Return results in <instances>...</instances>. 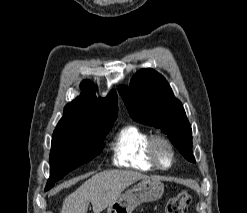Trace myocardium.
I'll return each instance as SVG.
<instances>
[{"label": "myocardium", "mask_w": 247, "mask_h": 213, "mask_svg": "<svg viewBox=\"0 0 247 213\" xmlns=\"http://www.w3.org/2000/svg\"><path fill=\"white\" fill-rule=\"evenodd\" d=\"M165 147L169 153L170 160L167 164L163 163L159 156V148ZM148 155L152 163L161 170L170 169L176 160L175 149L173 144L169 139L161 135L152 136L148 142Z\"/></svg>", "instance_id": "obj_1"}]
</instances>
